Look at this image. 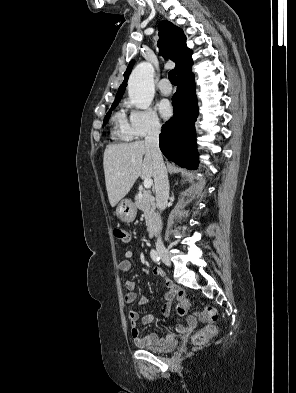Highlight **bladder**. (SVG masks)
<instances>
[{
  "label": "bladder",
  "mask_w": 296,
  "mask_h": 393,
  "mask_svg": "<svg viewBox=\"0 0 296 393\" xmlns=\"http://www.w3.org/2000/svg\"><path fill=\"white\" fill-rule=\"evenodd\" d=\"M177 343L175 341H171L170 343L162 346V347H153V346H143V348L147 351L154 353H166L175 349Z\"/></svg>",
  "instance_id": "bladder-1"
}]
</instances>
